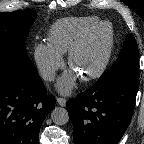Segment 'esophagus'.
Masks as SVG:
<instances>
[{
  "label": "esophagus",
  "mask_w": 144,
  "mask_h": 144,
  "mask_svg": "<svg viewBox=\"0 0 144 144\" xmlns=\"http://www.w3.org/2000/svg\"><path fill=\"white\" fill-rule=\"evenodd\" d=\"M56 100L60 106H63V107L66 106V99L65 98L58 97Z\"/></svg>",
  "instance_id": "esophagus-1"
}]
</instances>
